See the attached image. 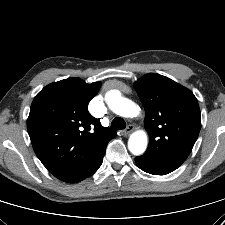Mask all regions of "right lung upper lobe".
Here are the masks:
<instances>
[{
    "label": "right lung upper lobe",
    "mask_w": 225,
    "mask_h": 225,
    "mask_svg": "<svg viewBox=\"0 0 225 225\" xmlns=\"http://www.w3.org/2000/svg\"><path fill=\"white\" fill-rule=\"evenodd\" d=\"M100 86L68 78L44 87L32 102L27 130L33 149L46 169L64 182L88 173L116 136L87 109Z\"/></svg>",
    "instance_id": "1"
}]
</instances>
